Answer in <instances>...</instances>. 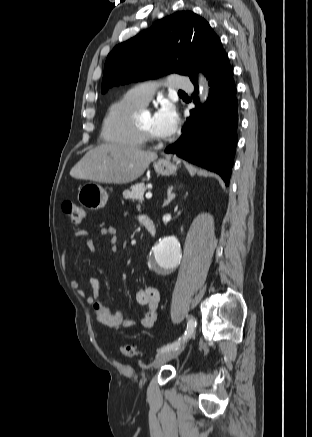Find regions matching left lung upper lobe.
Returning <instances> with one entry per match:
<instances>
[{
	"label": "left lung upper lobe",
	"instance_id": "5c2ea615",
	"mask_svg": "<svg viewBox=\"0 0 312 437\" xmlns=\"http://www.w3.org/2000/svg\"><path fill=\"white\" fill-rule=\"evenodd\" d=\"M224 51L208 22L191 11H179L117 45L107 56L101 92L119 84L156 78L168 73L197 81Z\"/></svg>",
	"mask_w": 312,
	"mask_h": 437
}]
</instances>
